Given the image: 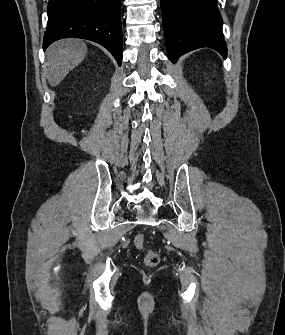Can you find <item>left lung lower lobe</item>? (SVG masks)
<instances>
[{
  "label": "left lung lower lobe",
  "mask_w": 285,
  "mask_h": 335,
  "mask_svg": "<svg viewBox=\"0 0 285 335\" xmlns=\"http://www.w3.org/2000/svg\"><path fill=\"white\" fill-rule=\"evenodd\" d=\"M168 57L172 62L195 49L209 47L224 58L227 47L217 0H161Z\"/></svg>",
  "instance_id": "0a47b994"
}]
</instances>
